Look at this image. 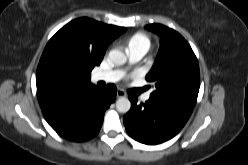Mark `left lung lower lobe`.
Segmentation results:
<instances>
[{"label":"left lung lower lobe","instance_id":"left-lung-lower-lobe-1","mask_svg":"<svg viewBox=\"0 0 248 165\" xmlns=\"http://www.w3.org/2000/svg\"><path fill=\"white\" fill-rule=\"evenodd\" d=\"M131 109L123 121L127 133L138 142L159 144L174 137L186 124L193 109L150 98L137 104L129 97Z\"/></svg>","mask_w":248,"mask_h":165}]
</instances>
